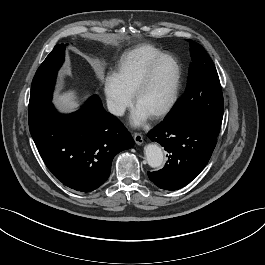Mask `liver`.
Here are the masks:
<instances>
[{
	"label": "liver",
	"instance_id": "obj_1",
	"mask_svg": "<svg viewBox=\"0 0 265 265\" xmlns=\"http://www.w3.org/2000/svg\"><path fill=\"white\" fill-rule=\"evenodd\" d=\"M54 103L59 109L65 112L75 111L79 106L75 90H68L67 92L57 95L54 99Z\"/></svg>",
	"mask_w": 265,
	"mask_h": 265
}]
</instances>
